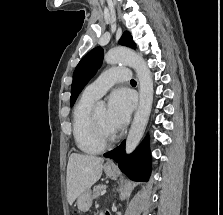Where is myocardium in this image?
I'll return each instance as SVG.
<instances>
[{
    "instance_id": "f54148a6",
    "label": "myocardium",
    "mask_w": 223,
    "mask_h": 215,
    "mask_svg": "<svg viewBox=\"0 0 223 215\" xmlns=\"http://www.w3.org/2000/svg\"><path fill=\"white\" fill-rule=\"evenodd\" d=\"M92 131L95 142L103 149L113 147L119 140L117 133H115L114 137L110 141L105 139L102 128L97 120L95 111L92 112Z\"/></svg>"
}]
</instances>
